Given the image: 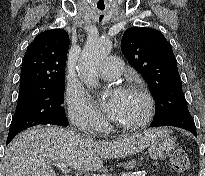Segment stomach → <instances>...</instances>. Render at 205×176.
<instances>
[{"label": "stomach", "instance_id": "1", "mask_svg": "<svg viewBox=\"0 0 205 176\" xmlns=\"http://www.w3.org/2000/svg\"><path fill=\"white\" fill-rule=\"evenodd\" d=\"M176 142L168 133L161 135L149 146V155L151 159L158 160L167 157L175 148ZM137 162L132 160L125 164L127 169H133Z\"/></svg>", "mask_w": 205, "mask_h": 176}]
</instances>
